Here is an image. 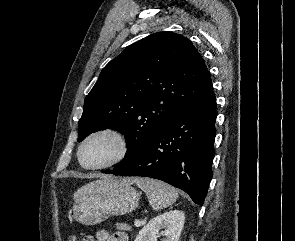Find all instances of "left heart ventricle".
Wrapping results in <instances>:
<instances>
[{
	"label": "left heart ventricle",
	"instance_id": "left-heart-ventricle-1",
	"mask_svg": "<svg viewBox=\"0 0 295 241\" xmlns=\"http://www.w3.org/2000/svg\"><path fill=\"white\" fill-rule=\"evenodd\" d=\"M120 152L118 140L107 134L98 135L84 146L81 159L85 165H100L114 159Z\"/></svg>",
	"mask_w": 295,
	"mask_h": 241
}]
</instances>
